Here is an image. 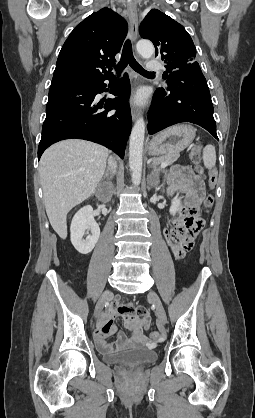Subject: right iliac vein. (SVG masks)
Here are the masks:
<instances>
[{"label":"right iliac vein","instance_id":"right-iliac-vein-1","mask_svg":"<svg viewBox=\"0 0 255 418\" xmlns=\"http://www.w3.org/2000/svg\"><path fill=\"white\" fill-rule=\"evenodd\" d=\"M111 296V292L110 291H106L102 297L99 299L96 308H95V317H98L100 315V313L103 310V307L105 305V303L107 302V300L110 298Z\"/></svg>","mask_w":255,"mask_h":418}]
</instances>
